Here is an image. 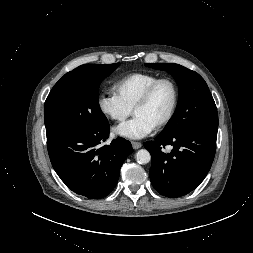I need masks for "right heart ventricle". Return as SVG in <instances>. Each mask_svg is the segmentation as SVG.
<instances>
[{
  "label": "right heart ventricle",
  "mask_w": 253,
  "mask_h": 253,
  "mask_svg": "<svg viewBox=\"0 0 253 253\" xmlns=\"http://www.w3.org/2000/svg\"><path fill=\"white\" fill-rule=\"evenodd\" d=\"M159 77L151 73H132L119 79L114 89L119 97L131 108L145 91V89Z\"/></svg>",
  "instance_id": "right-heart-ventricle-1"
}]
</instances>
